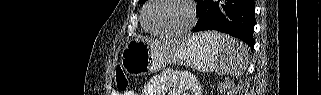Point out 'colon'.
<instances>
[{
	"label": "colon",
	"mask_w": 321,
	"mask_h": 95,
	"mask_svg": "<svg viewBox=\"0 0 321 95\" xmlns=\"http://www.w3.org/2000/svg\"><path fill=\"white\" fill-rule=\"evenodd\" d=\"M114 80L116 83V87L119 90H125L128 86V79L122 69V67L117 66L114 70Z\"/></svg>",
	"instance_id": "1"
}]
</instances>
